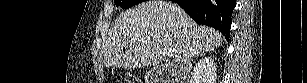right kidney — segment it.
<instances>
[{"label": "right kidney", "mask_w": 307, "mask_h": 83, "mask_svg": "<svg viewBox=\"0 0 307 83\" xmlns=\"http://www.w3.org/2000/svg\"><path fill=\"white\" fill-rule=\"evenodd\" d=\"M216 66L211 57L200 59L195 65L190 83H216Z\"/></svg>", "instance_id": "obj_1"}]
</instances>
